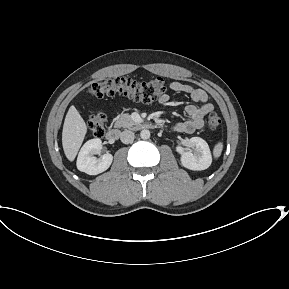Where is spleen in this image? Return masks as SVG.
Returning a JSON list of instances; mask_svg holds the SVG:
<instances>
[{"mask_svg":"<svg viewBox=\"0 0 289 289\" xmlns=\"http://www.w3.org/2000/svg\"><path fill=\"white\" fill-rule=\"evenodd\" d=\"M223 150V143L222 142H218L213 149V154L215 158H218L221 155V152Z\"/></svg>","mask_w":289,"mask_h":289,"instance_id":"obj_1","label":"spleen"}]
</instances>
